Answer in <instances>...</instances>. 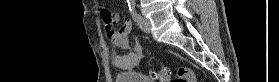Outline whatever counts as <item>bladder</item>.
<instances>
[{"mask_svg":"<svg viewBox=\"0 0 279 82\" xmlns=\"http://www.w3.org/2000/svg\"><path fill=\"white\" fill-rule=\"evenodd\" d=\"M116 82H153L141 73L125 72L116 75Z\"/></svg>","mask_w":279,"mask_h":82,"instance_id":"bladder-1","label":"bladder"}]
</instances>
